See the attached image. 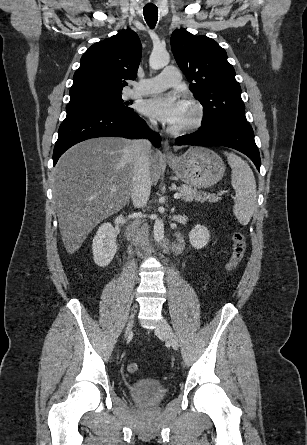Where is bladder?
<instances>
[{"label": "bladder", "instance_id": "1", "mask_svg": "<svg viewBox=\"0 0 307 445\" xmlns=\"http://www.w3.org/2000/svg\"><path fill=\"white\" fill-rule=\"evenodd\" d=\"M130 396L139 402L154 403L166 395L164 384L153 378L139 379L128 388Z\"/></svg>", "mask_w": 307, "mask_h": 445}]
</instances>
